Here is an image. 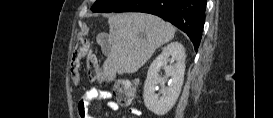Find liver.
<instances>
[{
  "label": "liver",
  "mask_w": 273,
  "mask_h": 118,
  "mask_svg": "<svg viewBox=\"0 0 273 118\" xmlns=\"http://www.w3.org/2000/svg\"><path fill=\"white\" fill-rule=\"evenodd\" d=\"M108 23L110 52L103 64V74L109 80L117 73L136 72L157 48L174 38L176 31L161 18L139 12L111 15Z\"/></svg>",
  "instance_id": "obj_1"
}]
</instances>
